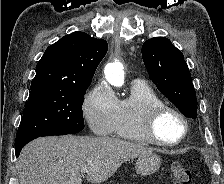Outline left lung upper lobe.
I'll use <instances>...</instances> for the list:
<instances>
[{
  "label": "left lung upper lobe",
  "mask_w": 224,
  "mask_h": 184,
  "mask_svg": "<svg viewBox=\"0 0 224 184\" xmlns=\"http://www.w3.org/2000/svg\"><path fill=\"white\" fill-rule=\"evenodd\" d=\"M146 69L157 88L188 118L197 117V99L183 54L164 37L142 46Z\"/></svg>",
  "instance_id": "5c2ea615"
}]
</instances>
